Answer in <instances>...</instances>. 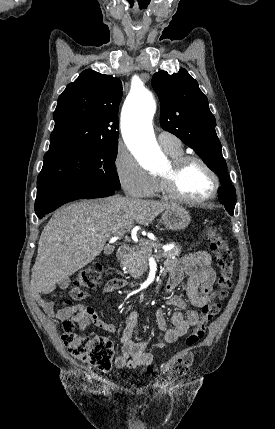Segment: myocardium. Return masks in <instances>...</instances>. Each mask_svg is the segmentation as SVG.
<instances>
[{"label": "myocardium", "mask_w": 275, "mask_h": 429, "mask_svg": "<svg viewBox=\"0 0 275 429\" xmlns=\"http://www.w3.org/2000/svg\"><path fill=\"white\" fill-rule=\"evenodd\" d=\"M192 162L199 163L208 172L213 181V188L211 193L202 199H194L187 197L183 195L177 187V181L181 172L189 163ZM159 181L161 184L162 191L166 196L171 199L191 205H202L210 202L217 196L220 189V179L215 170L206 160H204L200 156L193 154H182L180 156L171 158L169 161L168 170L164 173H159Z\"/></svg>", "instance_id": "f54148a6"}]
</instances>
